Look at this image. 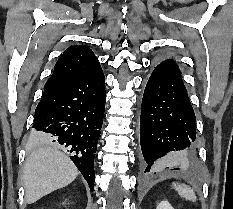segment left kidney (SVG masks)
<instances>
[{"label":"left kidney","instance_id":"obj_1","mask_svg":"<svg viewBox=\"0 0 233 209\" xmlns=\"http://www.w3.org/2000/svg\"><path fill=\"white\" fill-rule=\"evenodd\" d=\"M156 209H174L167 201H162L157 204Z\"/></svg>","mask_w":233,"mask_h":209}]
</instances>
